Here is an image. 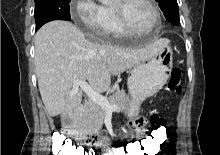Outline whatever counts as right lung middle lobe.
<instances>
[{
    "label": "right lung middle lobe",
    "instance_id": "right-lung-middle-lobe-1",
    "mask_svg": "<svg viewBox=\"0 0 220 155\" xmlns=\"http://www.w3.org/2000/svg\"><path fill=\"white\" fill-rule=\"evenodd\" d=\"M70 0H35L36 27L52 20H70Z\"/></svg>",
    "mask_w": 220,
    "mask_h": 155
}]
</instances>
